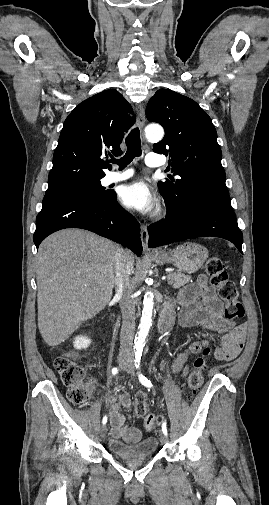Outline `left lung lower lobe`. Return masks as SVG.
Returning <instances> with one entry per match:
<instances>
[{
    "label": "left lung lower lobe",
    "mask_w": 269,
    "mask_h": 505,
    "mask_svg": "<svg viewBox=\"0 0 269 505\" xmlns=\"http://www.w3.org/2000/svg\"><path fill=\"white\" fill-rule=\"evenodd\" d=\"M166 206V219L148 227L149 247L214 236L231 241L242 253L243 236L229 194L196 189L188 195L186 207L179 208L167 202Z\"/></svg>",
    "instance_id": "obj_1"
}]
</instances>
